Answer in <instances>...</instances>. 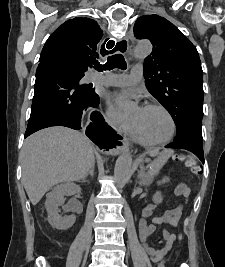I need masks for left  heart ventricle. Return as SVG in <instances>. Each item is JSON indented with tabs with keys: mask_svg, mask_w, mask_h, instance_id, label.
<instances>
[{
	"mask_svg": "<svg viewBox=\"0 0 225 267\" xmlns=\"http://www.w3.org/2000/svg\"><path fill=\"white\" fill-rule=\"evenodd\" d=\"M131 118L150 140H164L171 134V121L161 110L138 108L134 110Z\"/></svg>",
	"mask_w": 225,
	"mask_h": 267,
	"instance_id": "left-heart-ventricle-1",
	"label": "left heart ventricle"
}]
</instances>
